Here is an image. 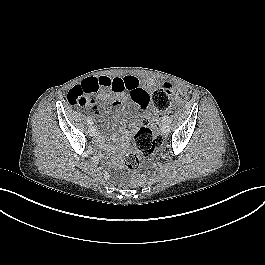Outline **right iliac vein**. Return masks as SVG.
Wrapping results in <instances>:
<instances>
[{
    "label": "right iliac vein",
    "mask_w": 265,
    "mask_h": 265,
    "mask_svg": "<svg viewBox=\"0 0 265 265\" xmlns=\"http://www.w3.org/2000/svg\"><path fill=\"white\" fill-rule=\"evenodd\" d=\"M88 133H89L90 136H95L96 131H95V129L93 127H89Z\"/></svg>",
    "instance_id": "obj_1"
}]
</instances>
